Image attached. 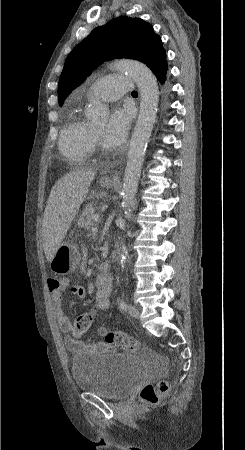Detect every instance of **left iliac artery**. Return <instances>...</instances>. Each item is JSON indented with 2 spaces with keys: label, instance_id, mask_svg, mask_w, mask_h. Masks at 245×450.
<instances>
[{
  "label": "left iliac artery",
  "instance_id": "44dca946",
  "mask_svg": "<svg viewBox=\"0 0 245 450\" xmlns=\"http://www.w3.org/2000/svg\"><path fill=\"white\" fill-rule=\"evenodd\" d=\"M120 309L126 311L127 310V304L124 301H120L119 303Z\"/></svg>",
  "mask_w": 245,
  "mask_h": 450
}]
</instances>
